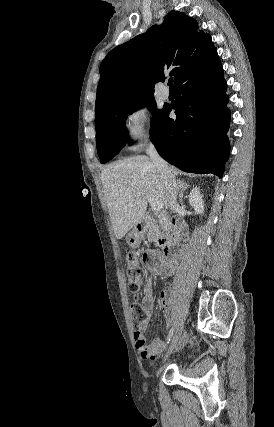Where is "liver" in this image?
Masks as SVG:
<instances>
[{
  "instance_id": "6515ba94",
  "label": "liver",
  "mask_w": 274,
  "mask_h": 427,
  "mask_svg": "<svg viewBox=\"0 0 274 427\" xmlns=\"http://www.w3.org/2000/svg\"><path fill=\"white\" fill-rule=\"evenodd\" d=\"M175 168L160 170L147 156H131L105 166L101 172L104 196L117 239L141 223L147 210L145 196L170 208V198L181 190ZM171 210V208H170Z\"/></svg>"
}]
</instances>
